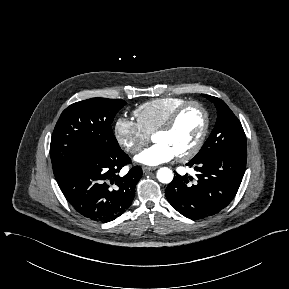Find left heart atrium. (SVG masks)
Instances as JSON below:
<instances>
[{
    "label": "left heart atrium",
    "mask_w": 289,
    "mask_h": 289,
    "mask_svg": "<svg viewBox=\"0 0 289 289\" xmlns=\"http://www.w3.org/2000/svg\"><path fill=\"white\" fill-rule=\"evenodd\" d=\"M175 157V152L169 146L163 143H156L136 155L135 161L144 165L156 166Z\"/></svg>",
    "instance_id": "39dd6f15"
}]
</instances>
